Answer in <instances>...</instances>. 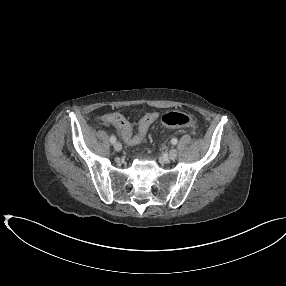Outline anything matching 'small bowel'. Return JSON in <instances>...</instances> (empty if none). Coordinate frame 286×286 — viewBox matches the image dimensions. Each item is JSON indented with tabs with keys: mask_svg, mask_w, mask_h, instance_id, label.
Wrapping results in <instances>:
<instances>
[{
	"mask_svg": "<svg viewBox=\"0 0 286 286\" xmlns=\"http://www.w3.org/2000/svg\"><path fill=\"white\" fill-rule=\"evenodd\" d=\"M158 118V114L155 112L146 114L139 122L141 124L143 121H148L149 127L152 125ZM103 122L106 124L114 125L122 139L129 145H135L134 142V134H133V127L129 121L125 119L124 116H122L119 113H109L103 116L102 118Z\"/></svg>",
	"mask_w": 286,
	"mask_h": 286,
	"instance_id": "small-bowel-1",
	"label": "small bowel"
}]
</instances>
